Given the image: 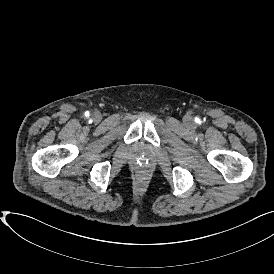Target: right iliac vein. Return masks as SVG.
<instances>
[{"instance_id": "63e3f726", "label": "right iliac vein", "mask_w": 274, "mask_h": 274, "mask_svg": "<svg viewBox=\"0 0 274 274\" xmlns=\"http://www.w3.org/2000/svg\"><path fill=\"white\" fill-rule=\"evenodd\" d=\"M92 118H93V120H94V122H100L101 121V119H102V115H101V113L99 112V111H95L94 113H93V115H92Z\"/></svg>"}]
</instances>
